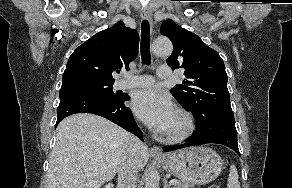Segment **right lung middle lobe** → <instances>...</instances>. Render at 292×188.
Wrapping results in <instances>:
<instances>
[{
    "label": "right lung middle lobe",
    "instance_id": "obj_1",
    "mask_svg": "<svg viewBox=\"0 0 292 188\" xmlns=\"http://www.w3.org/2000/svg\"><path fill=\"white\" fill-rule=\"evenodd\" d=\"M113 83L114 81L95 78H73L63 80L61 90L78 88L92 92L108 101H119L124 94L113 92Z\"/></svg>",
    "mask_w": 292,
    "mask_h": 188
}]
</instances>
